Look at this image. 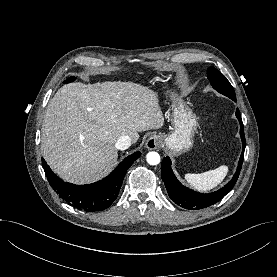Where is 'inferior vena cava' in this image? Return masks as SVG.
Returning <instances> with one entry per match:
<instances>
[{"instance_id": "obj_1", "label": "inferior vena cava", "mask_w": 277, "mask_h": 277, "mask_svg": "<svg viewBox=\"0 0 277 277\" xmlns=\"http://www.w3.org/2000/svg\"><path fill=\"white\" fill-rule=\"evenodd\" d=\"M131 138L127 135H123L118 138V140L115 143V147L118 150H126L131 146Z\"/></svg>"}]
</instances>
